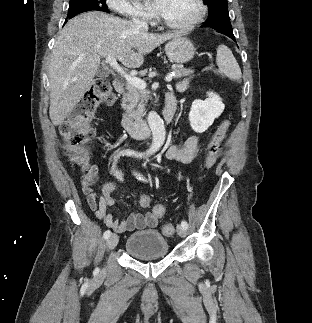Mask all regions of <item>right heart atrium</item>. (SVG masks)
Wrapping results in <instances>:
<instances>
[{"mask_svg": "<svg viewBox=\"0 0 312 323\" xmlns=\"http://www.w3.org/2000/svg\"><path fill=\"white\" fill-rule=\"evenodd\" d=\"M105 5H109L111 13H121L122 17H129V22H139V17H148V10H142L141 6H136V2H126V0H105Z\"/></svg>", "mask_w": 312, "mask_h": 323, "instance_id": "right-heart-atrium-1", "label": "right heart atrium"}]
</instances>
